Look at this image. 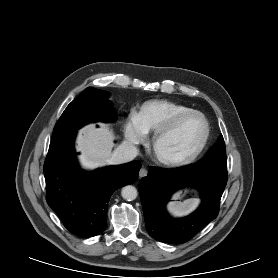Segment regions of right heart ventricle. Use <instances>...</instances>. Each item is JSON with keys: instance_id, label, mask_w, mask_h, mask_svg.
Here are the masks:
<instances>
[{"instance_id": "right-heart-ventricle-1", "label": "right heart ventricle", "mask_w": 278, "mask_h": 278, "mask_svg": "<svg viewBox=\"0 0 278 278\" xmlns=\"http://www.w3.org/2000/svg\"><path fill=\"white\" fill-rule=\"evenodd\" d=\"M192 110L190 107L169 100H149L136 113L145 133L156 132L177 115Z\"/></svg>"}]
</instances>
